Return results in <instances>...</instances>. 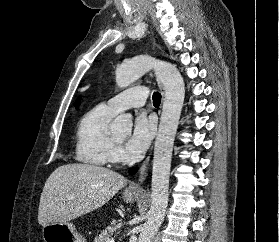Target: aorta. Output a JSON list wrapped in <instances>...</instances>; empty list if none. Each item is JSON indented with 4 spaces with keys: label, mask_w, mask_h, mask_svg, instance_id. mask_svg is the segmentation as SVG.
Wrapping results in <instances>:
<instances>
[{
    "label": "aorta",
    "mask_w": 279,
    "mask_h": 242,
    "mask_svg": "<svg viewBox=\"0 0 279 242\" xmlns=\"http://www.w3.org/2000/svg\"><path fill=\"white\" fill-rule=\"evenodd\" d=\"M151 69L155 70L163 85L165 98L154 147L151 206L138 242H151L165 216L173 144L185 97L184 80L178 69L169 62L147 55L137 56L117 66L116 83L121 88L127 87ZM131 128L132 119L126 114L116 117L110 125L115 135L129 134Z\"/></svg>",
    "instance_id": "762f6f07"
}]
</instances>
